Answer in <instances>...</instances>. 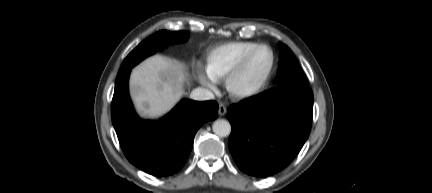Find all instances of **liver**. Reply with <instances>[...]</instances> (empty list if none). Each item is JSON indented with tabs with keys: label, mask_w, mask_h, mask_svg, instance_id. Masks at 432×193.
<instances>
[{
	"label": "liver",
	"mask_w": 432,
	"mask_h": 193,
	"mask_svg": "<svg viewBox=\"0 0 432 193\" xmlns=\"http://www.w3.org/2000/svg\"><path fill=\"white\" fill-rule=\"evenodd\" d=\"M191 76L184 63L152 56L131 73V94L137 112L156 119L166 114L185 94Z\"/></svg>",
	"instance_id": "obj_1"
}]
</instances>
